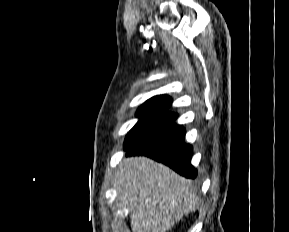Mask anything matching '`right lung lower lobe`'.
<instances>
[{
  "mask_svg": "<svg viewBox=\"0 0 289 232\" xmlns=\"http://www.w3.org/2000/svg\"><path fill=\"white\" fill-rule=\"evenodd\" d=\"M185 133L183 126L172 122L124 149L127 155L149 156L187 178H195L197 170L191 165L193 149L185 143Z\"/></svg>",
  "mask_w": 289,
  "mask_h": 232,
  "instance_id": "obj_1",
  "label": "right lung lower lobe"
}]
</instances>
